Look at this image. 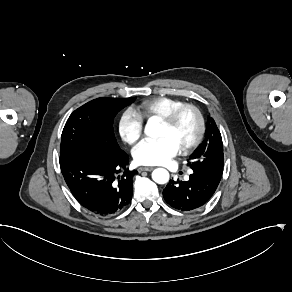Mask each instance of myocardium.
Instances as JSON below:
<instances>
[{"label":"myocardium","mask_w":292,"mask_h":292,"mask_svg":"<svg viewBox=\"0 0 292 292\" xmlns=\"http://www.w3.org/2000/svg\"><path fill=\"white\" fill-rule=\"evenodd\" d=\"M185 111H191L195 115L197 120V127L194 137L190 141L183 143L180 146L182 151H188L190 149H193L197 147L202 141L205 131V121L201 111L193 104L183 103L179 106L174 107L165 116L160 118V120L164 124L168 126H173L178 121L182 113Z\"/></svg>","instance_id":"1"}]
</instances>
